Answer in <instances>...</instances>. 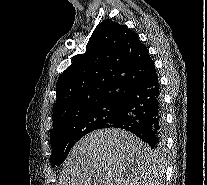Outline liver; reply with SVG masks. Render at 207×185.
Instances as JSON below:
<instances>
[{"instance_id": "liver-1", "label": "liver", "mask_w": 207, "mask_h": 185, "mask_svg": "<svg viewBox=\"0 0 207 185\" xmlns=\"http://www.w3.org/2000/svg\"><path fill=\"white\" fill-rule=\"evenodd\" d=\"M153 149L125 129H97L71 149L61 185H154Z\"/></svg>"}]
</instances>
